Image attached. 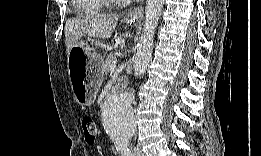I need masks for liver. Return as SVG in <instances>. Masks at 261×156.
<instances>
[{"label":"liver","mask_w":261,"mask_h":156,"mask_svg":"<svg viewBox=\"0 0 261 156\" xmlns=\"http://www.w3.org/2000/svg\"><path fill=\"white\" fill-rule=\"evenodd\" d=\"M117 22L118 17L111 14L81 15L68 19L65 25L67 55L82 37L92 38V41L109 39Z\"/></svg>","instance_id":"1"}]
</instances>
